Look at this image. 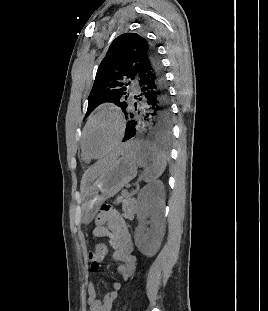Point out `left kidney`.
<instances>
[{
  "instance_id": "left-kidney-1",
  "label": "left kidney",
  "mask_w": 268,
  "mask_h": 311,
  "mask_svg": "<svg viewBox=\"0 0 268 311\" xmlns=\"http://www.w3.org/2000/svg\"><path fill=\"white\" fill-rule=\"evenodd\" d=\"M164 206V185L161 181H155L140 191L136 206L139 225L134 239L138 250L147 257L154 256L160 248L164 236ZM147 224H150L149 229Z\"/></svg>"
}]
</instances>
